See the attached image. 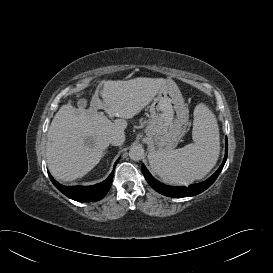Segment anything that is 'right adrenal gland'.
<instances>
[{
  "mask_svg": "<svg viewBox=\"0 0 273 273\" xmlns=\"http://www.w3.org/2000/svg\"><path fill=\"white\" fill-rule=\"evenodd\" d=\"M107 153V151L106 152H103V154H102V157H104V155Z\"/></svg>",
  "mask_w": 273,
  "mask_h": 273,
  "instance_id": "obj_1",
  "label": "right adrenal gland"
}]
</instances>
